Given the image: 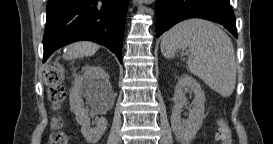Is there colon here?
I'll return each instance as SVG.
<instances>
[{"instance_id": "colon-1", "label": "colon", "mask_w": 273, "mask_h": 144, "mask_svg": "<svg viewBox=\"0 0 273 144\" xmlns=\"http://www.w3.org/2000/svg\"><path fill=\"white\" fill-rule=\"evenodd\" d=\"M46 82L49 86L48 96L50 101L54 105H59L65 98V89L63 86L64 72L60 65L53 64L47 70ZM54 124L57 126L59 120L56 118ZM218 141L221 144H230L231 143V132L225 121L221 120L218 127ZM51 144H65L67 142V137L64 133L60 131H55L50 136Z\"/></svg>"}]
</instances>
